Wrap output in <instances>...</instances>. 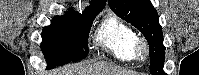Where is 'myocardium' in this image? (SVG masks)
Segmentation results:
<instances>
[{"label":"myocardium","instance_id":"f54148a6","mask_svg":"<svg viewBox=\"0 0 199 75\" xmlns=\"http://www.w3.org/2000/svg\"><path fill=\"white\" fill-rule=\"evenodd\" d=\"M133 54L134 57L140 62H143L149 58L150 48L146 39L142 37H136L134 39Z\"/></svg>","mask_w":199,"mask_h":75}]
</instances>
